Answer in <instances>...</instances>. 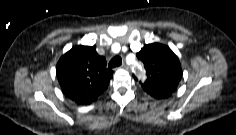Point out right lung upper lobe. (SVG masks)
Listing matches in <instances>:
<instances>
[{"label": "right lung upper lobe", "instance_id": "obj_1", "mask_svg": "<svg viewBox=\"0 0 236 135\" xmlns=\"http://www.w3.org/2000/svg\"><path fill=\"white\" fill-rule=\"evenodd\" d=\"M112 70L95 46L79 45L58 61L56 74L65 96L77 104H90L108 87Z\"/></svg>", "mask_w": 236, "mask_h": 135}]
</instances>
